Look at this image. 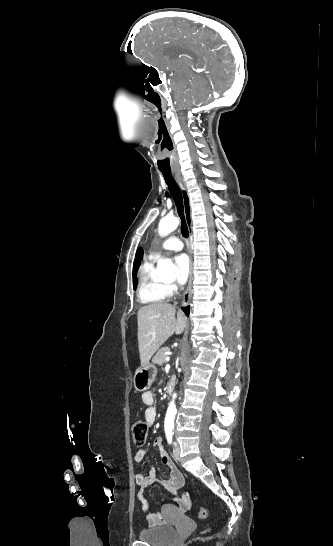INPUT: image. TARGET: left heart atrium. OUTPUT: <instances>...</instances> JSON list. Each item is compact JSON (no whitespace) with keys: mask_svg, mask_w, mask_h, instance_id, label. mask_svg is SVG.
Returning <instances> with one entry per match:
<instances>
[{"mask_svg":"<svg viewBox=\"0 0 333 546\" xmlns=\"http://www.w3.org/2000/svg\"><path fill=\"white\" fill-rule=\"evenodd\" d=\"M174 264L177 272V281L183 284L188 279L191 270V262L186 254H179L174 258Z\"/></svg>","mask_w":333,"mask_h":546,"instance_id":"1","label":"left heart atrium"}]
</instances>
